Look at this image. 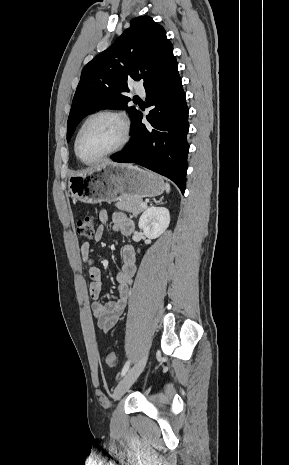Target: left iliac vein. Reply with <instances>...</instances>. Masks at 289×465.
I'll return each mask as SVG.
<instances>
[{"mask_svg": "<svg viewBox=\"0 0 289 465\" xmlns=\"http://www.w3.org/2000/svg\"><path fill=\"white\" fill-rule=\"evenodd\" d=\"M148 358V352H145L141 358L131 367V369L124 375L119 384L114 390V400H119L132 386V384L139 377L143 371Z\"/></svg>", "mask_w": 289, "mask_h": 465, "instance_id": "4c4485c4", "label": "left iliac vein"}]
</instances>
